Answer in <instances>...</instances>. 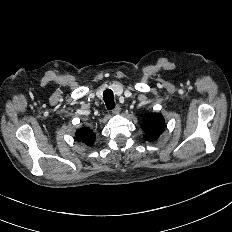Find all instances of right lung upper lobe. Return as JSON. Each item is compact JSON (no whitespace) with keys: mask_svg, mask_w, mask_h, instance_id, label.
<instances>
[{"mask_svg":"<svg viewBox=\"0 0 232 232\" xmlns=\"http://www.w3.org/2000/svg\"><path fill=\"white\" fill-rule=\"evenodd\" d=\"M76 138L89 146L93 144L95 134L91 129L81 128L76 131Z\"/></svg>","mask_w":232,"mask_h":232,"instance_id":"obj_1","label":"right lung upper lobe"}]
</instances>
